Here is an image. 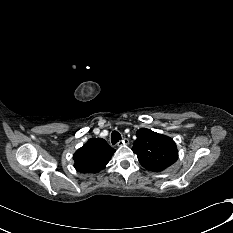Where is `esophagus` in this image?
Segmentation results:
<instances>
[{
  "label": "esophagus",
  "instance_id": "1",
  "mask_svg": "<svg viewBox=\"0 0 233 233\" xmlns=\"http://www.w3.org/2000/svg\"><path fill=\"white\" fill-rule=\"evenodd\" d=\"M128 144H129V140L127 138H124L123 140L118 142L117 146L123 147V146H127Z\"/></svg>",
  "mask_w": 233,
  "mask_h": 233
}]
</instances>
